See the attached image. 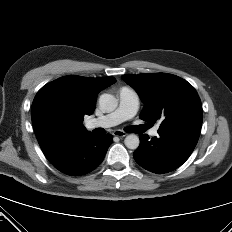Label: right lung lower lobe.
<instances>
[{
    "mask_svg": "<svg viewBox=\"0 0 232 232\" xmlns=\"http://www.w3.org/2000/svg\"><path fill=\"white\" fill-rule=\"evenodd\" d=\"M112 140L110 134L97 136L89 132L76 137L55 138L41 149L56 169L78 176L100 165Z\"/></svg>",
    "mask_w": 232,
    "mask_h": 232,
    "instance_id": "obj_1",
    "label": "right lung lower lobe"
}]
</instances>
